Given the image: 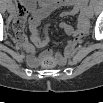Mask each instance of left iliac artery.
<instances>
[{
	"instance_id": "44dca946",
	"label": "left iliac artery",
	"mask_w": 103,
	"mask_h": 103,
	"mask_svg": "<svg viewBox=\"0 0 103 103\" xmlns=\"http://www.w3.org/2000/svg\"><path fill=\"white\" fill-rule=\"evenodd\" d=\"M90 5H91V6H93V5H94V1H93V0L91 1Z\"/></svg>"
}]
</instances>
